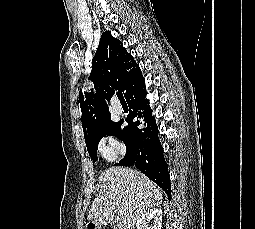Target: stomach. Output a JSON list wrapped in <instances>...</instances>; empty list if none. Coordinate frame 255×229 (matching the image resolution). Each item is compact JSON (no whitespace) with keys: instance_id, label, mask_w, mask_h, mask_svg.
I'll use <instances>...</instances> for the list:
<instances>
[{"instance_id":"1","label":"stomach","mask_w":255,"mask_h":229,"mask_svg":"<svg viewBox=\"0 0 255 229\" xmlns=\"http://www.w3.org/2000/svg\"><path fill=\"white\" fill-rule=\"evenodd\" d=\"M89 225L92 226L93 229H100V227L98 226V224H96V223H94V222H91Z\"/></svg>"}]
</instances>
